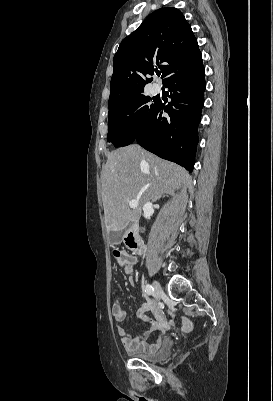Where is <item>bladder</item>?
Returning a JSON list of instances; mask_svg holds the SVG:
<instances>
[{
    "instance_id": "obj_1",
    "label": "bladder",
    "mask_w": 273,
    "mask_h": 401,
    "mask_svg": "<svg viewBox=\"0 0 273 401\" xmlns=\"http://www.w3.org/2000/svg\"><path fill=\"white\" fill-rule=\"evenodd\" d=\"M173 351V343L169 339H165L162 342L160 350L152 355L149 354H136L134 357L136 359L145 361L147 363H157L164 360H167Z\"/></svg>"
}]
</instances>
